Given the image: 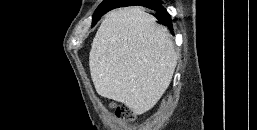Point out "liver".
<instances>
[{
    "instance_id": "obj_1",
    "label": "liver",
    "mask_w": 257,
    "mask_h": 130,
    "mask_svg": "<svg viewBox=\"0 0 257 130\" xmlns=\"http://www.w3.org/2000/svg\"><path fill=\"white\" fill-rule=\"evenodd\" d=\"M177 54L166 27L141 7L119 8L102 21L89 66L97 93L135 114L154 107L172 80Z\"/></svg>"
}]
</instances>
